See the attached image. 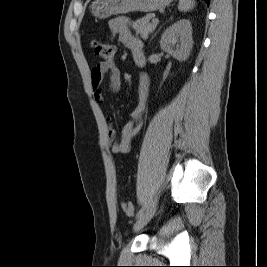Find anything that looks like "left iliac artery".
Wrapping results in <instances>:
<instances>
[{
    "label": "left iliac artery",
    "mask_w": 267,
    "mask_h": 267,
    "mask_svg": "<svg viewBox=\"0 0 267 267\" xmlns=\"http://www.w3.org/2000/svg\"><path fill=\"white\" fill-rule=\"evenodd\" d=\"M145 207L143 206L136 214V218H139L144 213Z\"/></svg>",
    "instance_id": "left-iliac-artery-1"
}]
</instances>
